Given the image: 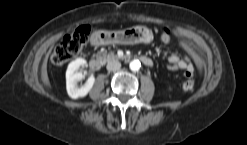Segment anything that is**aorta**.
Segmentation results:
<instances>
[{
  "label": "aorta",
  "mask_w": 247,
  "mask_h": 145,
  "mask_svg": "<svg viewBox=\"0 0 247 145\" xmlns=\"http://www.w3.org/2000/svg\"><path fill=\"white\" fill-rule=\"evenodd\" d=\"M141 67V63L139 60H132L129 64V68L132 70V71H138Z\"/></svg>",
  "instance_id": "762f6f07"
}]
</instances>
